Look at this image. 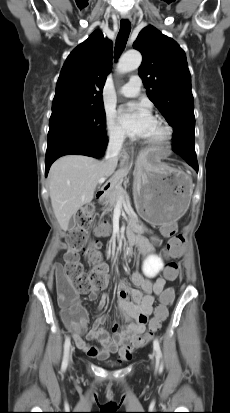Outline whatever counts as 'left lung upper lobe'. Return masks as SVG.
Here are the masks:
<instances>
[{
  "instance_id": "left-lung-upper-lobe-1",
  "label": "left lung upper lobe",
  "mask_w": 230,
  "mask_h": 413,
  "mask_svg": "<svg viewBox=\"0 0 230 413\" xmlns=\"http://www.w3.org/2000/svg\"><path fill=\"white\" fill-rule=\"evenodd\" d=\"M133 47L143 55L138 74L146 93L174 129L173 150L180 156L196 155L194 99L185 52L151 25L140 31Z\"/></svg>"
}]
</instances>
